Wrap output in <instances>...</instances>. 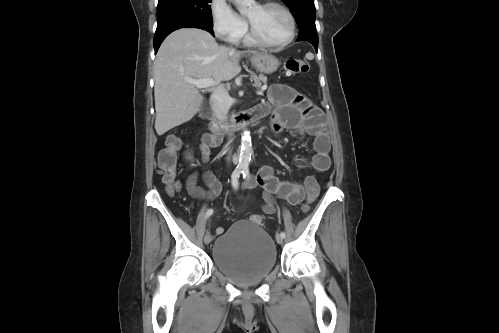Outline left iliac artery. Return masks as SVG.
<instances>
[{
    "label": "left iliac artery",
    "instance_id": "1",
    "mask_svg": "<svg viewBox=\"0 0 499 333\" xmlns=\"http://www.w3.org/2000/svg\"><path fill=\"white\" fill-rule=\"evenodd\" d=\"M242 175H243V178H245V179L249 178V169L247 167L243 168ZM280 235L283 238H285V236H286L284 232H281Z\"/></svg>",
    "mask_w": 499,
    "mask_h": 333
}]
</instances>
